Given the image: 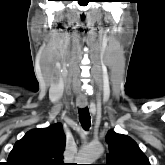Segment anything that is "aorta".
<instances>
[{
	"instance_id": "762f6f07",
	"label": "aorta",
	"mask_w": 165,
	"mask_h": 165,
	"mask_svg": "<svg viewBox=\"0 0 165 165\" xmlns=\"http://www.w3.org/2000/svg\"><path fill=\"white\" fill-rule=\"evenodd\" d=\"M103 153V147L100 144H91L82 148L75 161L77 164H93Z\"/></svg>"
}]
</instances>
